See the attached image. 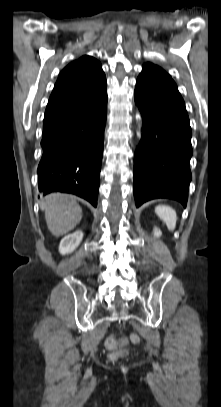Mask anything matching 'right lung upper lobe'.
Returning a JSON list of instances; mask_svg holds the SVG:
<instances>
[{"instance_id": "right-lung-upper-lobe-1", "label": "right lung upper lobe", "mask_w": 221, "mask_h": 407, "mask_svg": "<svg viewBox=\"0 0 221 407\" xmlns=\"http://www.w3.org/2000/svg\"><path fill=\"white\" fill-rule=\"evenodd\" d=\"M105 89L106 77L100 62L85 55L60 72L46 111L83 102Z\"/></svg>"}]
</instances>
